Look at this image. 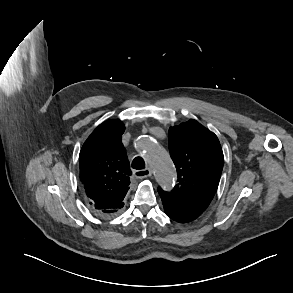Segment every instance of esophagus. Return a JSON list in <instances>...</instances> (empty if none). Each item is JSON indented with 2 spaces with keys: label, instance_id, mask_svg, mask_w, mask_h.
<instances>
[{
  "label": "esophagus",
  "instance_id": "1",
  "mask_svg": "<svg viewBox=\"0 0 293 293\" xmlns=\"http://www.w3.org/2000/svg\"><path fill=\"white\" fill-rule=\"evenodd\" d=\"M134 175L137 178L144 179V178L151 176V170L149 168L142 169V170H136L134 172Z\"/></svg>",
  "mask_w": 293,
  "mask_h": 293
}]
</instances>
